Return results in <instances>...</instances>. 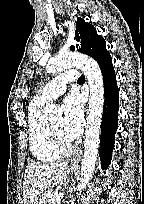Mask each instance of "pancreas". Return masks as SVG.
I'll list each match as a JSON object with an SVG mask.
<instances>
[{"mask_svg": "<svg viewBox=\"0 0 144 204\" xmlns=\"http://www.w3.org/2000/svg\"><path fill=\"white\" fill-rule=\"evenodd\" d=\"M57 194L56 191H44L39 200V204H60V200H51L50 198Z\"/></svg>", "mask_w": 144, "mask_h": 204, "instance_id": "obj_1", "label": "pancreas"}]
</instances>
